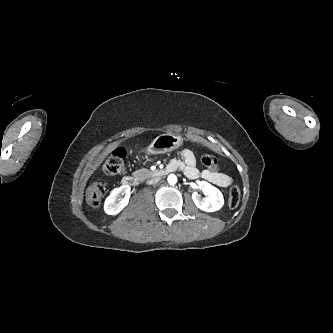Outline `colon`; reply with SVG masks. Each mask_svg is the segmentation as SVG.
<instances>
[{
	"mask_svg": "<svg viewBox=\"0 0 333 333\" xmlns=\"http://www.w3.org/2000/svg\"><path fill=\"white\" fill-rule=\"evenodd\" d=\"M202 165L213 172L218 170L217 159L210 154H203L201 156ZM126 170V151L124 148L115 149L104 164V171L109 174H120ZM106 187L104 183H93L87 188L86 200L90 206L98 208L105 196ZM228 206L235 208L240 202V190L237 186H232L228 191L227 196Z\"/></svg>",
	"mask_w": 333,
	"mask_h": 333,
	"instance_id": "colon-1",
	"label": "colon"
}]
</instances>
